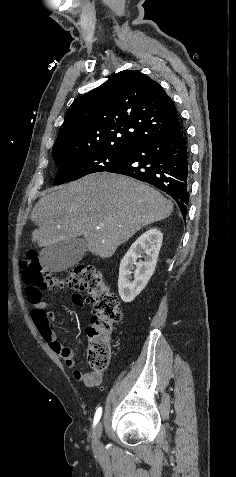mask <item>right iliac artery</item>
Wrapping results in <instances>:
<instances>
[{
	"mask_svg": "<svg viewBox=\"0 0 236 477\" xmlns=\"http://www.w3.org/2000/svg\"><path fill=\"white\" fill-rule=\"evenodd\" d=\"M101 415H102V407H99L97 410H96V413H95V416H94V421H93V426L95 427L96 424L99 422L100 418H101Z\"/></svg>",
	"mask_w": 236,
	"mask_h": 477,
	"instance_id": "1",
	"label": "right iliac artery"
}]
</instances>
